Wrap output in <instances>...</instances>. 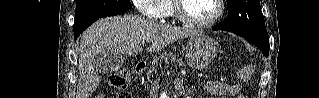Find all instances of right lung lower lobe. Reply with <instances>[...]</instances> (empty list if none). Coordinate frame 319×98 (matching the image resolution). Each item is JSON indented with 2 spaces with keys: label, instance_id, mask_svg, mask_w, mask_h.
<instances>
[{
  "label": "right lung lower lobe",
  "instance_id": "98d812e1",
  "mask_svg": "<svg viewBox=\"0 0 319 98\" xmlns=\"http://www.w3.org/2000/svg\"><path fill=\"white\" fill-rule=\"evenodd\" d=\"M126 12L125 10H106L100 12H94L85 14L82 16H78L75 18L74 21V39L76 40L78 36L93 22L98 20L99 18L106 17V16H114L120 15Z\"/></svg>",
  "mask_w": 319,
  "mask_h": 98
}]
</instances>
